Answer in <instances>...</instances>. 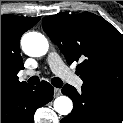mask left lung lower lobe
<instances>
[{
  "label": "left lung lower lobe",
  "instance_id": "0a47b994",
  "mask_svg": "<svg viewBox=\"0 0 123 123\" xmlns=\"http://www.w3.org/2000/svg\"><path fill=\"white\" fill-rule=\"evenodd\" d=\"M62 93L72 99L74 108L61 123H121L123 119V96L84 86L77 92L69 84Z\"/></svg>",
  "mask_w": 123,
  "mask_h": 123
}]
</instances>
